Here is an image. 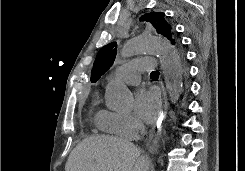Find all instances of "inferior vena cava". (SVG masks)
<instances>
[{"label":"inferior vena cava","instance_id":"602c4592","mask_svg":"<svg viewBox=\"0 0 245 171\" xmlns=\"http://www.w3.org/2000/svg\"><path fill=\"white\" fill-rule=\"evenodd\" d=\"M141 128H142V132L144 131V126L143 125H141Z\"/></svg>","mask_w":245,"mask_h":171}]
</instances>
